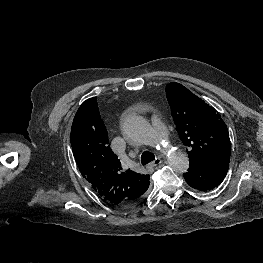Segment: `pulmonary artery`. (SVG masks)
Masks as SVG:
<instances>
[{
	"mask_svg": "<svg viewBox=\"0 0 263 263\" xmlns=\"http://www.w3.org/2000/svg\"><path fill=\"white\" fill-rule=\"evenodd\" d=\"M152 124L159 135H164L166 133L164 125L157 116L152 117Z\"/></svg>",
	"mask_w": 263,
	"mask_h": 263,
	"instance_id": "obj_1",
	"label": "pulmonary artery"
}]
</instances>
